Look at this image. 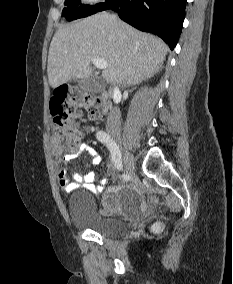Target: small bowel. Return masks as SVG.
I'll use <instances>...</instances> for the list:
<instances>
[{"label": "small bowel", "instance_id": "small-bowel-1", "mask_svg": "<svg viewBox=\"0 0 233 284\" xmlns=\"http://www.w3.org/2000/svg\"><path fill=\"white\" fill-rule=\"evenodd\" d=\"M85 152L88 154L91 163L98 165L101 162V156L96 149L88 144H81L77 151L66 156L62 161V167L58 174V181L60 187L67 192L73 191L77 188H85L94 193H101L105 190L107 179L103 178L99 185H95L96 172L91 171L85 175L78 176L75 182H71L66 175V167L70 160L75 158L80 153ZM114 207V204L109 199H104L102 202V212L109 213Z\"/></svg>", "mask_w": 233, "mask_h": 284}]
</instances>
